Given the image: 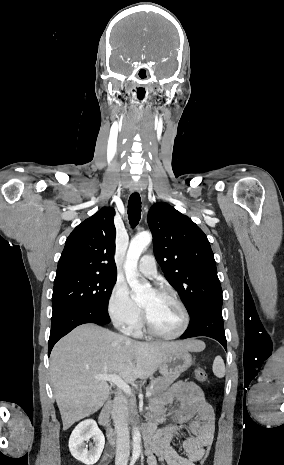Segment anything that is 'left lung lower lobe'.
Returning a JSON list of instances; mask_svg holds the SVG:
<instances>
[{
  "label": "left lung lower lobe",
  "instance_id": "1",
  "mask_svg": "<svg viewBox=\"0 0 284 465\" xmlns=\"http://www.w3.org/2000/svg\"><path fill=\"white\" fill-rule=\"evenodd\" d=\"M207 336L219 341L227 350V341L223 326L222 307H205L191 316L187 330L181 339Z\"/></svg>",
  "mask_w": 284,
  "mask_h": 465
}]
</instances>
